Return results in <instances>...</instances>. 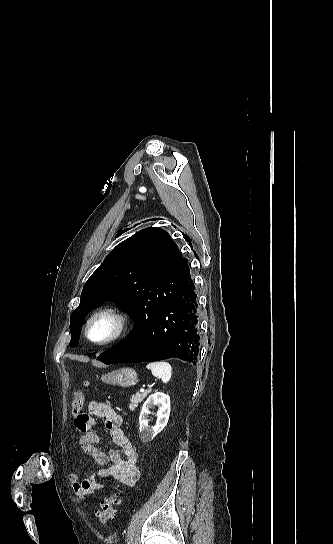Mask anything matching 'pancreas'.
Returning <instances> with one entry per match:
<instances>
[{
  "label": "pancreas",
  "instance_id": "obj_1",
  "mask_svg": "<svg viewBox=\"0 0 333 544\" xmlns=\"http://www.w3.org/2000/svg\"><path fill=\"white\" fill-rule=\"evenodd\" d=\"M150 391H147L143 394H135L131 397V403L129 404V409L130 410H134L137 406H138V403H141L144 398L147 397V395L149 394Z\"/></svg>",
  "mask_w": 333,
  "mask_h": 544
}]
</instances>
